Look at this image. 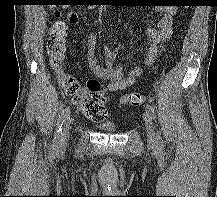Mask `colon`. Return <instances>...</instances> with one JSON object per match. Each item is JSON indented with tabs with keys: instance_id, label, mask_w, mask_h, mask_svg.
Wrapping results in <instances>:
<instances>
[{
	"instance_id": "colon-1",
	"label": "colon",
	"mask_w": 217,
	"mask_h": 197,
	"mask_svg": "<svg viewBox=\"0 0 217 197\" xmlns=\"http://www.w3.org/2000/svg\"><path fill=\"white\" fill-rule=\"evenodd\" d=\"M58 4H51L55 14ZM67 50V25L64 21H55L49 29L47 45L50 62L59 74V84L64 94L70 98L71 103L80 110L84 116L92 121L101 122L107 117L106 87L96 81L89 80L85 86L71 75L62 70L63 60ZM146 101V97L138 92L130 93L121 98L122 104L140 106Z\"/></svg>"
}]
</instances>
